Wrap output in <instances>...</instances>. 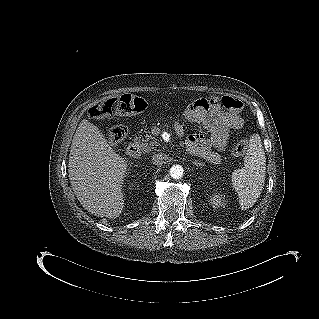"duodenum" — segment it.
<instances>
[{
  "mask_svg": "<svg viewBox=\"0 0 319 319\" xmlns=\"http://www.w3.org/2000/svg\"><path fill=\"white\" fill-rule=\"evenodd\" d=\"M126 154L130 158H133V159L138 158L141 154L140 145L136 142L131 143L126 150Z\"/></svg>",
  "mask_w": 319,
  "mask_h": 319,
  "instance_id": "duodenum-1",
  "label": "duodenum"
}]
</instances>
